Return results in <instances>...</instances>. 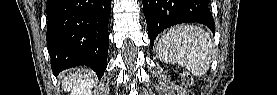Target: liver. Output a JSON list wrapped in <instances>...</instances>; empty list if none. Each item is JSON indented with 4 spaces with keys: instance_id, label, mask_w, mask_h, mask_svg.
Masks as SVG:
<instances>
[{
    "instance_id": "liver-1",
    "label": "liver",
    "mask_w": 277,
    "mask_h": 95,
    "mask_svg": "<svg viewBox=\"0 0 277 95\" xmlns=\"http://www.w3.org/2000/svg\"><path fill=\"white\" fill-rule=\"evenodd\" d=\"M88 74H86V71L80 68H75L72 71L69 72L68 76L65 77V79L62 81V89L64 91L69 90L73 88L72 93L77 94L79 93L81 87L80 84L83 81V79H87Z\"/></svg>"
}]
</instances>
